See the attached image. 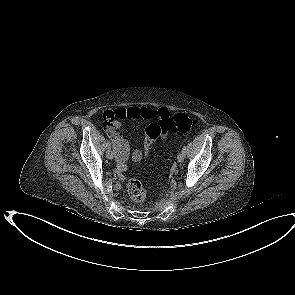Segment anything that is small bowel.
Masks as SVG:
<instances>
[{
  "instance_id": "small-bowel-1",
  "label": "small bowel",
  "mask_w": 295,
  "mask_h": 295,
  "mask_svg": "<svg viewBox=\"0 0 295 295\" xmlns=\"http://www.w3.org/2000/svg\"><path fill=\"white\" fill-rule=\"evenodd\" d=\"M115 112V113H114ZM169 116L166 109L160 108L154 110L147 107L134 106L126 109L107 110L103 114V120L106 124V131L112 138L114 148L117 151V169L120 175L126 171V161L129 155L128 142L121 136L120 122H128L132 120H155L162 121ZM165 138V136H163ZM156 138H152L146 131L144 140V148L142 150L133 151L131 158L135 162L141 161L143 158L150 156V149Z\"/></svg>"
}]
</instances>
